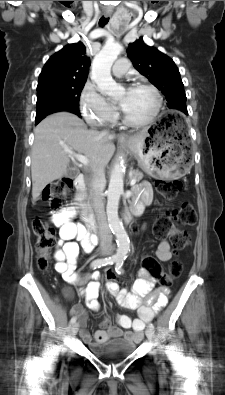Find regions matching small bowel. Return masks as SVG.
Instances as JSON below:
<instances>
[{"mask_svg": "<svg viewBox=\"0 0 225 395\" xmlns=\"http://www.w3.org/2000/svg\"><path fill=\"white\" fill-rule=\"evenodd\" d=\"M137 199L134 210L141 212L145 205L152 202V188L148 182L141 183L136 188ZM74 209L62 211L52 215V222L59 227L58 249L55 254V270L60 273L65 281L75 285H84L86 277L76 273L78 255L80 248L89 253L97 243V238L90 234L83 225L73 221ZM78 241V242H76ZM156 257L161 262H167L172 257L170 244L166 239L161 240L156 250ZM153 275L139 270L138 279L132 286V292L127 289H119V283H107L105 289L116 296L120 306L137 310L138 318L132 319L130 316L122 314L118 316L120 327L110 326V321L106 318L101 329L94 335V340L101 344L111 338H125L133 342H140L143 338L142 331L145 324L150 321L154 314L167 304L169 290L167 288H154L155 281ZM99 274L93 273L92 281L82 288L81 293L86 299L87 307L97 311L99 303L97 301L100 283ZM72 313L76 314L81 326L80 336L86 343L92 342L91 335L86 331L87 313L81 305H76ZM125 329V330H123Z\"/></svg>", "mask_w": 225, "mask_h": 395, "instance_id": "1", "label": "small bowel"}]
</instances>
